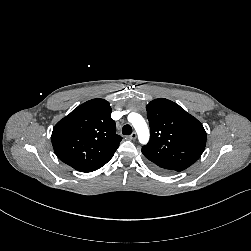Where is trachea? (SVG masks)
Here are the masks:
<instances>
[{"label": "trachea", "instance_id": "3493384b", "mask_svg": "<svg viewBox=\"0 0 251 251\" xmlns=\"http://www.w3.org/2000/svg\"><path fill=\"white\" fill-rule=\"evenodd\" d=\"M123 135H130L132 133V127L130 125H125L122 128Z\"/></svg>", "mask_w": 251, "mask_h": 251}]
</instances>
